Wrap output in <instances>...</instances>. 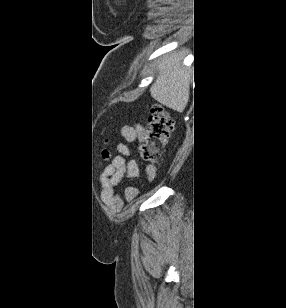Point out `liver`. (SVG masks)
Segmentation results:
<instances>
[{
	"label": "liver",
	"mask_w": 286,
	"mask_h": 308,
	"mask_svg": "<svg viewBox=\"0 0 286 308\" xmlns=\"http://www.w3.org/2000/svg\"><path fill=\"white\" fill-rule=\"evenodd\" d=\"M181 57L167 55L158 61L157 79L150 88L151 96L162 105L182 112L189 102L190 71L181 66Z\"/></svg>",
	"instance_id": "obj_1"
}]
</instances>
